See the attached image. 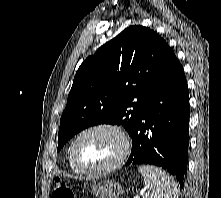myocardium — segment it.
Returning a JSON list of instances; mask_svg holds the SVG:
<instances>
[{
    "label": "myocardium",
    "instance_id": "myocardium-1",
    "mask_svg": "<svg viewBox=\"0 0 221 198\" xmlns=\"http://www.w3.org/2000/svg\"><path fill=\"white\" fill-rule=\"evenodd\" d=\"M97 130H107L113 132L121 141V150L117 158L107 166L98 169H89L83 167L77 160L76 156V145L78 141L86 134L97 131ZM131 150V143L129 136L127 133L118 125L111 123H97L80 131L76 137L73 139L70 146V158L73 166L76 170L82 174L90 175V176H100L107 173H110L116 169H118L129 156Z\"/></svg>",
    "mask_w": 221,
    "mask_h": 198
}]
</instances>
